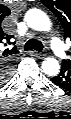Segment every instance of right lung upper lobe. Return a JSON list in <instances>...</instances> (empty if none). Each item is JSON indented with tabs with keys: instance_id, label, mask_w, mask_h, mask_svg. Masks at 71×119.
I'll return each mask as SVG.
<instances>
[{
	"instance_id": "cb5924a9",
	"label": "right lung upper lobe",
	"mask_w": 71,
	"mask_h": 119,
	"mask_svg": "<svg viewBox=\"0 0 71 119\" xmlns=\"http://www.w3.org/2000/svg\"><path fill=\"white\" fill-rule=\"evenodd\" d=\"M10 14L9 8L3 6L1 9V17L4 18L5 16H8ZM7 37H4L3 41L6 42ZM12 51L15 53L17 50L12 49Z\"/></svg>"
}]
</instances>
